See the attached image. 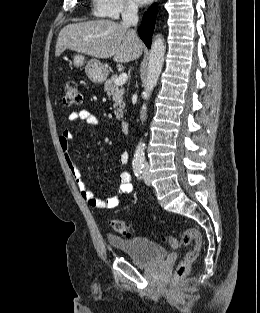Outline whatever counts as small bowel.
Listing matches in <instances>:
<instances>
[{
  "instance_id": "1",
  "label": "small bowel",
  "mask_w": 260,
  "mask_h": 313,
  "mask_svg": "<svg viewBox=\"0 0 260 313\" xmlns=\"http://www.w3.org/2000/svg\"><path fill=\"white\" fill-rule=\"evenodd\" d=\"M69 121L83 120L89 126H98L99 119L86 109L74 111L68 116ZM73 137V131L70 128H65L59 135V145L62 154L65 158L66 164L70 170V173L76 183V186L80 192L82 199L91 207L96 209H113L118 206L120 202V196L128 195L133 192L131 175L123 171L119 174V184L116 190V194L112 195L106 200L98 198L93 191L89 190L84 182L81 172L75 164L71 150L70 141ZM129 161V155L126 151H122L118 155V162L122 165H126Z\"/></svg>"
}]
</instances>
